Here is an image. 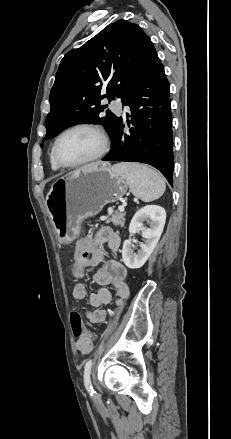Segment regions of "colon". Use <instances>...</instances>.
<instances>
[{"label": "colon", "mask_w": 231, "mask_h": 439, "mask_svg": "<svg viewBox=\"0 0 231 439\" xmlns=\"http://www.w3.org/2000/svg\"><path fill=\"white\" fill-rule=\"evenodd\" d=\"M86 271V266L83 264V260L80 257L75 258L72 262V276L74 279H78L74 283H85L81 280L83 273ZM74 286V284H73ZM70 325L72 333L77 338H85V339H91L92 334L90 331L86 330L82 317L77 311H72L70 314Z\"/></svg>", "instance_id": "1"}]
</instances>
